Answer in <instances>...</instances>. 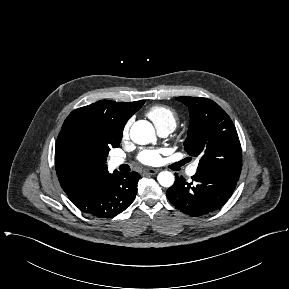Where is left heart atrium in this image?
Instances as JSON below:
<instances>
[{"label": "left heart atrium", "instance_id": "1", "mask_svg": "<svg viewBox=\"0 0 289 289\" xmlns=\"http://www.w3.org/2000/svg\"><path fill=\"white\" fill-rule=\"evenodd\" d=\"M168 152L167 149H146L139 153L138 160L145 165H157L162 160V155Z\"/></svg>", "mask_w": 289, "mask_h": 289}]
</instances>
